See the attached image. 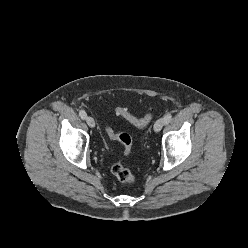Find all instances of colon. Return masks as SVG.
<instances>
[{"label":"colon","instance_id":"1","mask_svg":"<svg viewBox=\"0 0 248 248\" xmlns=\"http://www.w3.org/2000/svg\"><path fill=\"white\" fill-rule=\"evenodd\" d=\"M114 112L116 115L124 118L129 123L137 127H143L147 125L153 117L152 112L147 113L143 117H136L132 115L126 108L120 106H116L114 108ZM106 131L112 139L117 140L122 144L124 155L128 156L132 150L131 136L128 133H115L110 127H107ZM111 172L120 182L133 183L135 181V176L121 162L115 163L111 168Z\"/></svg>","mask_w":248,"mask_h":248}]
</instances>
